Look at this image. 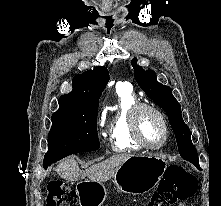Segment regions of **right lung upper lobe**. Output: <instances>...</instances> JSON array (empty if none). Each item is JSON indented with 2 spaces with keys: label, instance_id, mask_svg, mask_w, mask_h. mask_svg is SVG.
Here are the masks:
<instances>
[{
  "label": "right lung upper lobe",
  "instance_id": "cb5924a9",
  "mask_svg": "<svg viewBox=\"0 0 221 206\" xmlns=\"http://www.w3.org/2000/svg\"><path fill=\"white\" fill-rule=\"evenodd\" d=\"M109 81L106 67H95L74 76L73 90L59 98L57 112L78 111L98 107L101 92Z\"/></svg>",
  "mask_w": 221,
  "mask_h": 206
}]
</instances>
